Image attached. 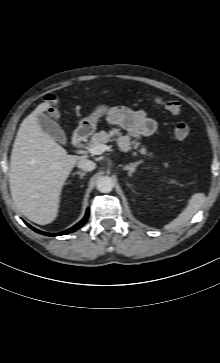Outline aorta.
Listing matches in <instances>:
<instances>
[{
  "mask_svg": "<svg viewBox=\"0 0 220 363\" xmlns=\"http://www.w3.org/2000/svg\"><path fill=\"white\" fill-rule=\"evenodd\" d=\"M96 186L101 193H109L114 187V182L111 177L102 176L97 180Z\"/></svg>",
  "mask_w": 220,
  "mask_h": 363,
  "instance_id": "aorta-1",
  "label": "aorta"
}]
</instances>
